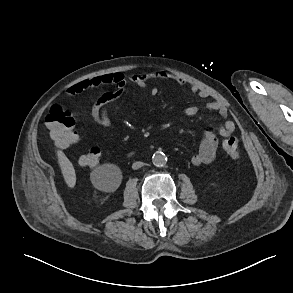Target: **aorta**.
<instances>
[{
    "mask_svg": "<svg viewBox=\"0 0 293 293\" xmlns=\"http://www.w3.org/2000/svg\"><path fill=\"white\" fill-rule=\"evenodd\" d=\"M167 158L164 153L156 152L152 156V163L155 166H163L166 164Z\"/></svg>",
    "mask_w": 293,
    "mask_h": 293,
    "instance_id": "762f6f07",
    "label": "aorta"
}]
</instances>
